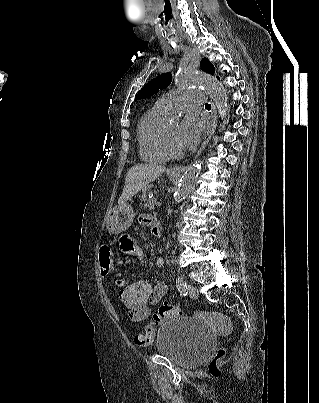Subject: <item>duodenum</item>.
Instances as JSON below:
<instances>
[{"instance_id": "1", "label": "duodenum", "mask_w": 319, "mask_h": 403, "mask_svg": "<svg viewBox=\"0 0 319 403\" xmlns=\"http://www.w3.org/2000/svg\"><path fill=\"white\" fill-rule=\"evenodd\" d=\"M155 227H158V221H156Z\"/></svg>"}]
</instances>
